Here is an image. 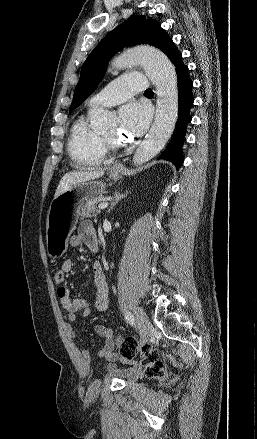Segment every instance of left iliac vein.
I'll return each mask as SVG.
<instances>
[{
    "mask_svg": "<svg viewBox=\"0 0 257 439\" xmlns=\"http://www.w3.org/2000/svg\"><path fill=\"white\" fill-rule=\"evenodd\" d=\"M135 320L139 326L140 334L143 341H146L151 333V328L148 317L141 307H137L135 310Z\"/></svg>",
    "mask_w": 257,
    "mask_h": 439,
    "instance_id": "1",
    "label": "left iliac vein"
}]
</instances>
